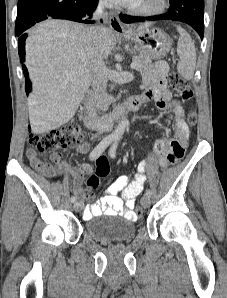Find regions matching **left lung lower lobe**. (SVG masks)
Wrapping results in <instances>:
<instances>
[{
  "instance_id": "obj_1",
  "label": "left lung lower lobe",
  "mask_w": 227,
  "mask_h": 298,
  "mask_svg": "<svg viewBox=\"0 0 227 298\" xmlns=\"http://www.w3.org/2000/svg\"><path fill=\"white\" fill-rule=\"evenodd\" d=\"M170 9L163 15L133 17L120 14L124 23L144 22L146 20H175L191 25L203 39L204 0H170Z\"/></svg>"
}]
</instances>
